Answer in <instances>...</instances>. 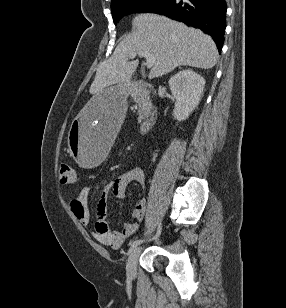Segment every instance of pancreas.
Here are the masks:
<instances>
[{
  "label": "pancreas",
  "mask_w": 286,
  "mask_h": 308,
  "mask_svg": "<svg viewBox=\"0 0 286 308\" xmlns=\"http://www.w3.org/2000/svg\"><path fill=\"white\" fill-rule=\"evenodd\" d=\"M129 94L140 108L138 122H141L149 113L152 106L150 92L139 86H133L129 89Z\"/></svg>",
  "instance_id": "obj_1"
}]
</instances>
